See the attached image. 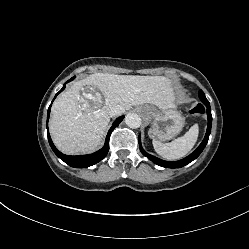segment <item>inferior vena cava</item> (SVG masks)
Returning <instances> with one entry per match:
<instances>
[{
	"instance_id": "inferior-vena-cava-1",
	"label": "inferior vena cava",
	"mask_w": 249,
	"mask_h": 249,
	"mask_svg": "<svg viewBox=\"0 0 249 249\" xmlns=\"http://www.w3.org/2000/svg\"><path fill=\"white\" fill-rule=\"evenodd\" d=\"M124 112V108L120 105L113 106L109 109V116L110 117H115L119 116Z\"/></svg>"
}]
</instances>
